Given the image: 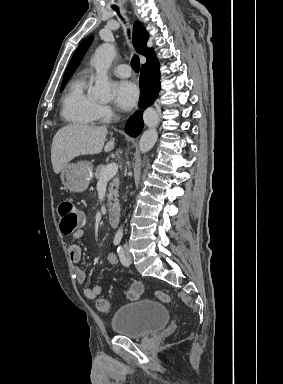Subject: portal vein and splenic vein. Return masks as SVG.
<instances>
[{"label": "portal vein and splenic vein", "mask_w": 283, "mask_h": 384, "mask_svg": "<svg viewBox=\"0 0 283 384\" xmlns=\"http://www.w3.org/2000/svg\"><path fill=\"white\" fill-rule=\"evenodd\" d=\"M116 172H118L117 164H108V166L103 168L99 182H108V180L114 178Z\"/></svg>", "instance_id": "obj_1"}]
</instances>
